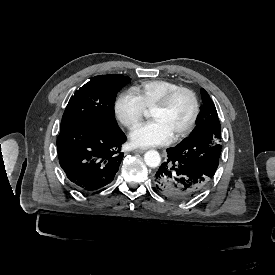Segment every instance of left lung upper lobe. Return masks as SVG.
Here are the masks:
<instances>
[{"mask_svg": "<svg viewBox=\"0 0 275 275\" xmlns=\"http://www.w3.org/2000/svg\"><path fill=\"white\" fill-rule=\"evenodd\" d=\"M203 107L196 120V127L190 136L173 148L168 154L187 165L212 177L218 167L221 154V125L209 94L201 90Z\"/></svg>", "mask_w": 275, "mask_h": 275, "instance_id": "1", "label": "left lung upper lobe"}]
</instances>
